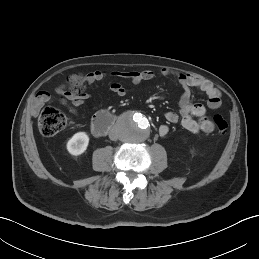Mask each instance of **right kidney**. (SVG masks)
<instances>
[{
  "instance_id": "ca27d5eb",
  "label": "right kidney",
  "mask_w": 259,
  "mask_h": 259,
  "mask_svg": "<svg viewBox=\"0 0 259 259\" xmlns=\"http://www.w3.org/2000/svg\"><path fill=\"white\" fill-rule=\"evenodd\" d=\"M88 144V135L85 132H78L68 140L66 147L71 155L78 156L86 151Z\"/></svg>"
}]
</instances>
